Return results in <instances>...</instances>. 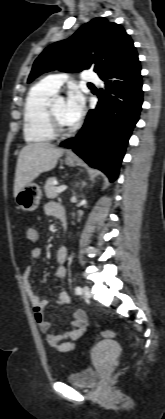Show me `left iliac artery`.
Wrapping results in <instances>:
<instances>
[{
  "instance_id": "left-iliac-artery-1",
  "label": "left iliac artery",
  "mask_w": 165,
  "mask_h": 419,
  "mask_svg": "<svg viewBox=\"0 0 165 419\" xmlns=\"http://www.w3.org/2000/svg\"><path fill=\"white\" fill-rule=\"evenodd\" d=\"M75 293H76L77 295H81V294H82V289H81V287L77 286V287L75 288Z\"/></svg>"
}]
</instances>
